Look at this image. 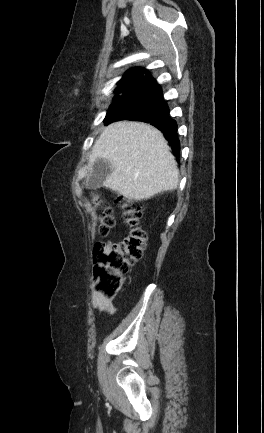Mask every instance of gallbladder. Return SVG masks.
<instances>
[{
  "mask_svg": "<svg viewBox=\"0 0 264 433\" xmlns=\"http://www.w3.org/2000/svg\"><path fill=\"white\" fill-rule=\"evenodd\" d=\"M111 173L112 166L110 162L106 159H97L91 167L90 174L85 181V187L87 189L101 188Z\"/></svg>",
  "mask_w": 264,
  "mask_h": 433,
  "instance_id": "obj_1",
  "label": "gallbladder"
}]
</instances>
